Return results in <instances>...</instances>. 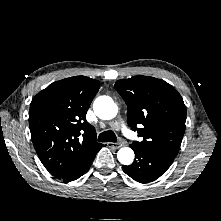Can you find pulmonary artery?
Wrapping results in <instances>:
<instances>
[{
	"label": "pulmonary artery",
	"mask_w": 221,
	"mask_h": 221,
	"mask_svg": "<svg viewBox=\"0 0 221 221\" xmlns=\"http://www.w3.org/2000/svg\"><path fill=\"white\" fill-rule=\"evenodd\" d=\"M121 129L123 132H126L128 130L127 126L124 123L121 124Z\"/></svg>",
	"instance_id": "1"
}]
</instances>
